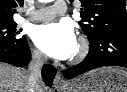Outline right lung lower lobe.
I'll return each mask as SVG.
<instances>
[{"mask_svg":"<svg viewBox=\"0 0 127 92\" xmlns=\"http://www.w3.org/2000/svg\"><path fill=\"white\" fill-rule=\"evenodd\" d=\"M31 58L28 43L21 46L12 45L9 43H0V61L12 64L17 67L24 66ZM56 74L54 66L45 64L42 70L44 82L51 86Z\"/></svg>","mask_w":127,"mask_h":92,"instance_id":"right-lung-lower-lobe-1","label":"right lung lower lobe"}]
</instances>
